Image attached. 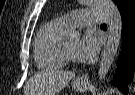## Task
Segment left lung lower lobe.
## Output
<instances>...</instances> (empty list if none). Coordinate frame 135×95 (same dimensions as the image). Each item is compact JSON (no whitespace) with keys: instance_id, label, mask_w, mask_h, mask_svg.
I'll return each mask as SVG.
<instances>
[{"instance_id":"0a47b994","label":"left lung lower lobe","mask_w":135,"mask_h":95,"mask_svg":"<svg viewBox=\"0 0 135 95\" xmlns=\"http://www.w3.org/2000/svg\"><path fill=\"white\" fill-rule=\"evenodd\" d=\"M121 19L122 46L112 84L127 93L135 67V6L123 13Z\"/></svg>"}]
</instances>
